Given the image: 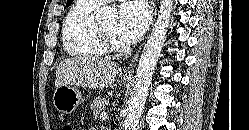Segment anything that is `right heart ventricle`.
Returning a JSON list of instances; mask_svg holds the SVG:
<instances>
[{"mask_svg": "<svg viewBox=\"0 0 249 130\" xmlns=\"http://www.w3.org/2000/svg\"><path fill=\"white\" fill-rule=\"evenodd\" d=\"M100 4L93 0H77L62 26V44L70 56L101 57L107 53L102 44L95 20Z\"/></svg>", "mask_w": 249, "mask_h": 130, "instance_id": "right-heart-ventricle-1", "label": "right heart ventricle"}]
</instances>
